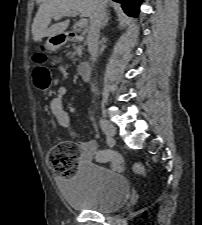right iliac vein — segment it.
<instances>
[{
	"instance_id": "1",
	"label": "right iliac vein",
	"mask_w": 202,
	"mask_h": 225,
	"mask_svg": "<svg viewBox=\"0 0 202 225\" xmlns=\"http://www.w3.org/2000/svg\"><path fill=\"white\" fill-rule=\"evenodd\" d=\"M99 123H100L102 131L106 134L107 138L114 140L113 137L116 134L115 127L104 119H100Z\"/></svg>"
}]
</instances>
